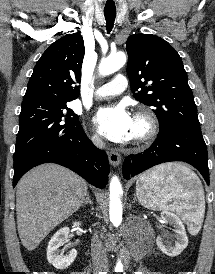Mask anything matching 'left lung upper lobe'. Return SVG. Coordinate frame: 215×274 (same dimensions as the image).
Masks as SVG:
<instances>
[{
  "label": "left lung upper lobe",
  "mask_w": 215,
  "mask_h": 274,
  "mask_svg": "<svg viewBox=\"0 0 215 274\" xmlns=\"http://www.w3.org/2000/svg\"><path fill=\"white\" fill-rule=\"evenodd\" d=\"M127 74L136 100L152 106L160 129H200L187 73L177 51L152 34H134L126 42Z\"/></svg>",
  "instance_id": "5c2ea615"
}]
</instances>
